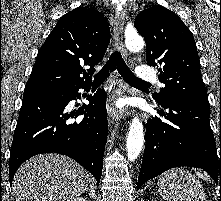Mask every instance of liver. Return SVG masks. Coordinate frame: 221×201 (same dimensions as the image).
Segmentation results:
<instances>
[{"label": "liver", "mask_w": 221, "mask_h": 201, "mask_svg": "<svg viewBox=\"0 0 221 201\" xmlns=\"http://www.w3.org/2000/svg\"><path fill=\"white\" fill-rule=\"evenodd\" d=\"M89 174L73 159L44 154L26 161L15 173L16 201H68L83 194Z\"/></svg>", "instance_id": "1"}]
</instances>
